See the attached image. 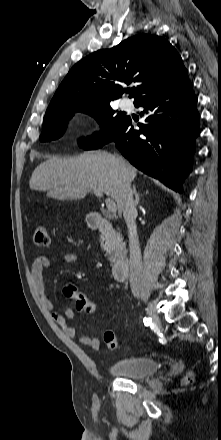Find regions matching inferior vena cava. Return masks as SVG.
Returning a JSON list of instances; mask_svg holds the SVG:
<instances>
[{"instance_id":"602c4592","label":"inferior vena cava","mask_w":221,"mask_h":440,"mask_svg":"<svg viewBox=\"0 0 221 440\" xmlns=\"http://www.w3.org/2000/svg\"><path fill=\"white\" fill-rule=\"evenodd\" d=\"M119 163L124 167V161L117 157ZM122 210L128 228L129 250H130V284L133 291H139L142 282V261L137 226L135 219L137 210L133 200V192L130 182H126L122 191Z\"/></svg>"}]
</instances>
